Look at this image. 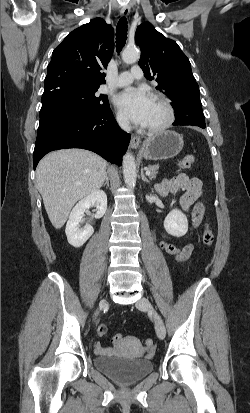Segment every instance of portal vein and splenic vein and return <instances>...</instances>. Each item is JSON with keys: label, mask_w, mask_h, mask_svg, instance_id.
I'll return each mask as SVG.
<instances>
[{"label": "portal vein and splenic vein", "mask_w": 250, "mask_h": 413, "mask_svg": "<svg viewBox=\"0 0 250 413\" xmlns=\"http://www.w3.org/2000/svg\"><path fill=\"white\" fill-rule=\"evenodd\" d=\"M145 170H146V174L149 176L151 172L148 169H145Z\"/></svg>", "instance_id": "portal-vein-and-splenic-vein-1"}]
</instances>
